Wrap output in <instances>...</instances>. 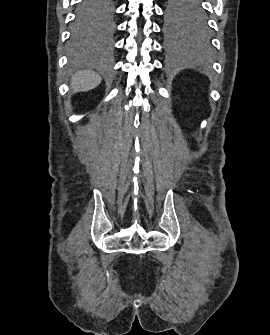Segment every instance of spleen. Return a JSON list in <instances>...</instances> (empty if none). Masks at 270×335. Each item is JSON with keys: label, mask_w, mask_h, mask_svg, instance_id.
<instances>
[{"label": "spleen", "mask_w": 270, "mask_h": 335, "mask_svg": "<svg viewBox=\"0 0 270 335\" xmlns=\"http://www.w3.org/2000/svg\"><path fill=\"white\" fill-rule=\"evenodd\" d=\"M197 54H196V50L194 48V50H191V52H189V50H186L185 54H184V60L185 62H197Z\"/></svg>", "instance_id": "1"}]
</instances>
